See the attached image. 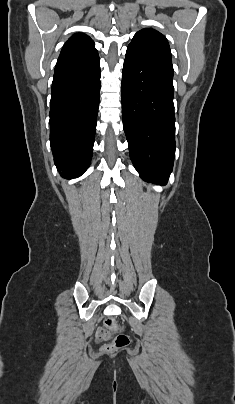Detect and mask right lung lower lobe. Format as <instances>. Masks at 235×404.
Returning <instances> with one entry per match:
<instances>
[{
    "instance_id": "right-lung-lower-lobe-1",
    "label": "right lung lower lobe",
    "mask_w": 235,
    "mask_h": 404,
    "mask_svg": "<svg viewBox=\"0 0 235 404\" xmlns=\"http://www.w3.org/2000/svg\"><path fill=\"white\" fill-rule=\"evenodd\" d=\"M99 56L57 64L50 105V144L61 175L72 179L90 164L100 93Z\"/></svg>"
}]
</instances>
